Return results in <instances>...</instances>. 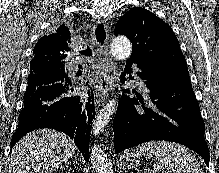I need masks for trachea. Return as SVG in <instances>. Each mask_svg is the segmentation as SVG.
I'll return each instance as SVG.
<instances>
[{"mask_svg":"<svg viewBox=\"0 0 219 173\" xmlns=\"http://www.w3.org/2000/svg\"><path fill=\"white\" fill-rule=\"evenodd\" d=\"M81 55L90 57V56H92V51H91V49L87 48L86 50L81 52ZM79 67H81V66H79Z\"/></svg>","mask_w":219,"mask_h":173,"instance_id":"trachea-1","label":"trachea"}]
</instances>
